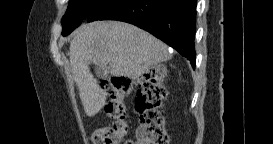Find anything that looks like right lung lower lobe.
I'll return each instance as SVG.
<instances>
[{"mask_svg": "<svg viewBox=\"0 0 273 144\" xmlns=\"http://www.w3.org/2000/svg\"><path fill=\"white\" fill-rule=\"evenodd\" d=\"M197 0H110L88 22L119 20L134 24L161 39L195 68Z\"/></svg>", "mask_w": 273, "mask_h": 144, "instance_id": "98d812e1", "label": "right lung lower lobe"}]
</instances>
